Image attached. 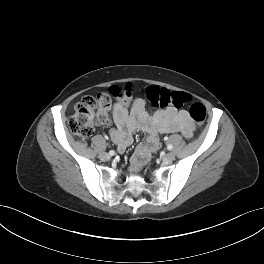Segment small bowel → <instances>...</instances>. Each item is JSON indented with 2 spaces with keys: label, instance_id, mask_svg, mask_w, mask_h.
<instances>
[{
  "label": "small bowel",
  "instance_id": "obj_1",
  "mask_svg": "<svg viewBox=\"0 0 264 264\" xmlns=\"http://www.w3.org/2000/svg\"><path fill=\"white\" fill-rule=\"evenodd\" d=\"M128 105L129 102L126 100L113 106L116 128L110 131V136L118 151L124 152L132 144V133L135 130L148 133L146 141L138 145L131 157L133 169L143 167L151 154L159 148V134L179 132L187 139L193 136L195 125L185 110L167 108L149 115L142 99L133 102L130 112Z\"/></svg>",
  "mask_w": 264,
  "mask_h": 264
}]
</instances>
